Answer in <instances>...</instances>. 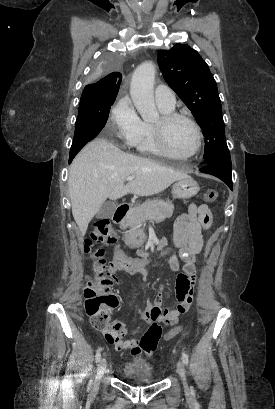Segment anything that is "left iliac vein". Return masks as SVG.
Segmentation results:
<instances>
[{"label":"left iliac vein","instance_id":"left-iliac-vein-1","mask_svg":"<svg viewBox=\"0 0 275 409\" xmlns=\"http://www.w3.org/2000/svg\"><path fill=\"white\" fill-rule=\"evenodd\" d=\"M177 373L179 374V376L181 377V379L183 381L185 390H188V384L186 382L185 368H184V364L182 362L177 363Z\"/></svg>","mask_w":275,"mask_h":409}]
</instances>
